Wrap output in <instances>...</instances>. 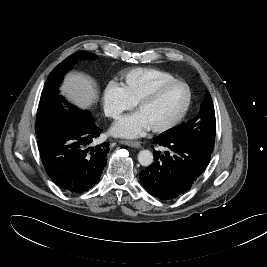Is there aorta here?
Instances as JSON below:
<instances>
[{
	"label": "aorta",
	"instance_id": "762f6f07",
	"mask_svg": "<svg viewBox=\"0 0 267 267\" xmlns=\"http://www.w3.org/2000/svg\"><path fill=\"white\" fill-rule=\"evenodd\" d=\"M153 159H154L153 154L149 150H141L138 153V162L142 166H150L153 162Z\"/></svg>",
	"mask_w": 267,
	"mask_h": 267
}]
</instances>
